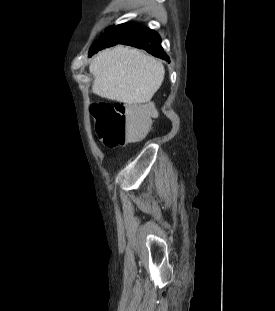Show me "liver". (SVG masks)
<instances>
[{
    "mask_svg": "<svg viewBox=\"0 0 275 311\" xmlns=\"http://www.w3.org/2000/svg\"><path fill=\"white\" fill-rule=\"evenodd\" d=\"M89 71L96 95L129 105L149 102L165 74L161 61L123 46L102 51L91 61Z\"/></svg>",
    "mask_w": 275,
    "mask_h": 311,
    "instance_id": "6515ba94",
    "label": "liver"
}]
</instances>
